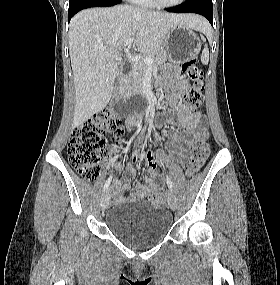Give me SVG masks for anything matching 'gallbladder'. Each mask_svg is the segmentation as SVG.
Masks as SVG:
<instances>
[{"instance_id": "1", "label": "gallbladder", "mask_w": 280, "mask_h": 285, "mask_svg": "<svg viewBox=\"0 0 280 285\" xmlns=\"http://www.w3.org/2000/svg\"><path fill=\"white\" fill-rule=\"evenodd\" d=\"M119 84H120V79H119V77H117L115 80V84H114L115 88H118Z\"/></svg>"}]
</instances>
